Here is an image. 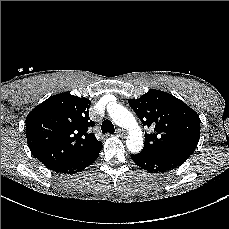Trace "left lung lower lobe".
Returning a JSON list of instances; mask_svg holds the SVG:
<instances>
[{"label":"left lung lower lobe","instance_id":"left-lung-lower-lobe-1","mask_svg":"<svg viewBox=\"0 0 229 229\" xmlns=\"http://www.w3.org/2000/svg\"><path fill=\"white\" fill-rule=\"evenodd\" d=\"M132 160L142 169L150 173H159L173 170L181 166L187 158L183 157H159L144 154H132Z\"/></svg>","mask_w":229,"mask_h":229}]
</instances>
